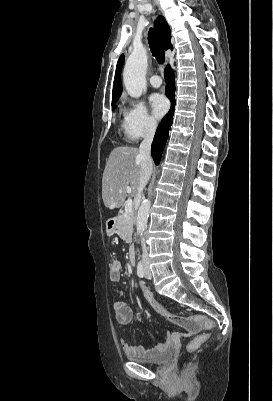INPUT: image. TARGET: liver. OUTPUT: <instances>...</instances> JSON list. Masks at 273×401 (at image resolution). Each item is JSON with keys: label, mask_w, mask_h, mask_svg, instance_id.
<instances>
[{"label": "liver", "mask_w": 273, "mask_h": 401, "mask_svg": "<svg viewBox=\"0 0 273 401\" xmlns=\"http://www.w3.org/2000/svg\"><path fill=\"white\" fill-rule=\"evenodd\" d=\"M141 174L139 148L117 146L112 150L104 168L102 178V198L105 207H122L127 196L126 186H131L132 196H136Z\"/></svg>", "instance_id": "obj_1"}]
</instances>
